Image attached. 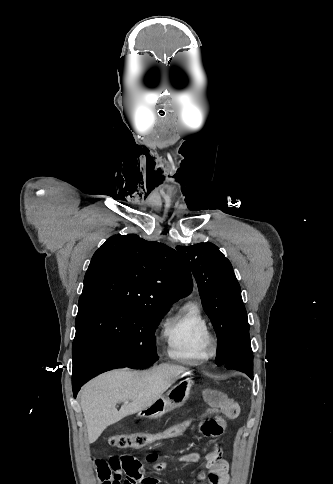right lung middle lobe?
I'll return each mask as SVG.
<instances>
[{
  "label": "right lung middle lobe",
  "instance_id": "right-lung-middle-lobe-1",
  "mask_svg": "<svg viewBox=\"0 0 333 484\" xmlns=\"http://www.w3.org/2000/svg\"><path fill=\"white\" fill-rule=\"evenodd\" d=\"M165 311L150 308L92 303L78 306L72 356L87 340L111 348L130 368H146L158 360L154 332Z\"/></svg>",
  "mask_w": 333,
  "mask_h": 484
}]
</instances>
